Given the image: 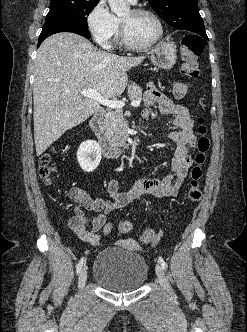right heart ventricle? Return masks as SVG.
<instances>
[{
	"instance_id": "1",
	"label": "right heart ventricle",
	"mask_w": 247,
	"mask_h": 332,
	"mask_svg": "<svg viewBox=\"0 0 247 332\" xmlns=\"http://www.w3.org/2000/svg\"><path fill=\"white\" fill-rule=\"evenodd\" d=\"M119 35V30H118V32H117V34H116V36H118Z\"/></svg>"
}]
</instances>
